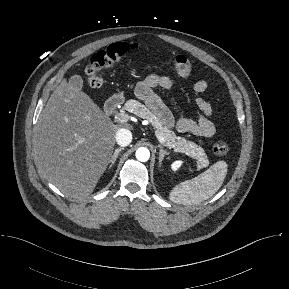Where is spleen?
Listing matches in <instances>:
<instances>
[{"label":"spleen","instance_id":"1","mask_svg":"<svg viewBox=\"0 0 289 289\" xmlns=\"http://www.w3.org/2000/svg\"><path fill=\"white\" fill-rule=\"evenodd\" d=\"M228 165L218 161L200 175L181 182L170 192L172 202L182 205L199 204L213 196L222 186Z\"/></svg>","mask_w":289,"mask_h":289}]
</instances>
